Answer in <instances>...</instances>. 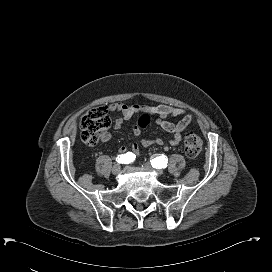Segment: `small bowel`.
I'll use <instances>...</instances> for the list:
<instances>
[{
	"mask_svg": "<svg viewBox=\"0 0 272 272\" xmlns=\"http://www.w3.org/2000/svg\"><path fill=\"white\" fill-rule=\"evenodd\" d=\"M108 110L110 112L120 114V117L114 121V129L116 130L121 129L123 123L137 113H147L148 115L156 116V124L173 134V137L169 142L171 145H178L181 142V133L189 127L192 121V116L187 111L169 105L148 106L140 104L127 105L124 103H113L109 105ZM169 117H181V120L178 123H173L168 120ZM145 126L146 123L139 122L133 127V133L136 136H139ZM110 139L111 134L108 131L103 132L100 137L102 142H107ZM153 145L163 146L165 149H167V145L164 144V141L157 138L143 139L140 145L138 143H133L130 145V147L121 146L119 148V152L126 153L130 150L136 154V156H139L140 146L143 148H148Z\"/></svg>",
	"mask_w": 272,
	"mask_h": 272,
	"instance_id": "small-bowel-1",
	"label": "small bowel"
}]
</instances>
